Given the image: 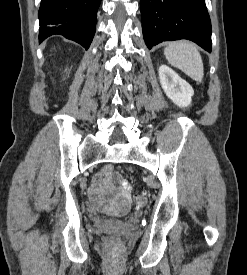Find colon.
<instances>
[{"instance_id":"colon-1","label":"colon","mask_w":247,"mask_h":275,"mask_svg":"<svg viewBox=\"0 0 247 275\" xmlns=\"http://www.w3.org/2000/svg\"><path fill=\"white\" fill-rule=\"evenodd\" d=\"M104 179V176L102 174H98L96 177H95V182L97 183H100L102 182ZM135 200H136V203L137 205L139 206H143L146 204L147 202V191L146 190H141L140 192H138L136 195H135ZM108 244L112 247H116L117 246V242L115 241L114 238L110 237L108 239Z\"/></svg>"}]
</instances>
